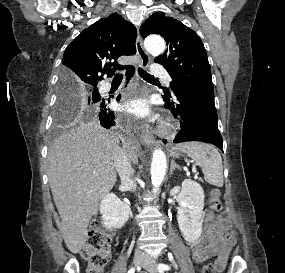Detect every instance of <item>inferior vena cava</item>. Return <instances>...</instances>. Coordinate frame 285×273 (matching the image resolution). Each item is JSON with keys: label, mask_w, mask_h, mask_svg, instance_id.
Segmentation results:
<instances>
[{"label": "inferior vena cava", "mask_w": 285, "mask_h": 273, "mask_svg": "<svg viewBox=\"0 0 285 273\" xmlns=\"http://www.w3.org/2000/svg\"><path fill=\"white\" fill-rule=\"evenodd\" d=\"M114 166L121 178L123 185L129 187L132 191L136 190V183L132 179L134 175V169L131 165V159L127 155L124 149L118 148L114 157ZM136 253H142L140 250H136Z\"/></svg>", "instance_id": "602c4592"}]
</instances>
